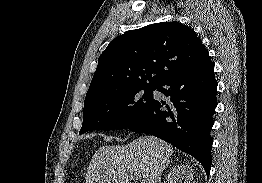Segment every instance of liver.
I'll list each match as a JSON object with an SVG mask.
<instances>
[{"instance_id":"liver-1","label":"liver","mask_w":262,"mask_h":183,"mask_svg":"<svg viewBox=\"0 0 262 183\" xmlns=\"http://www.w3.org/2000/svg\"><path fill=\"white\" fill-rule=\"evenodd\" d=\"M173 148L154 136H141L126 146H102L92 156L86 183H131L138 175L142 183H159Z\"/></svg>"}]
</instances>
